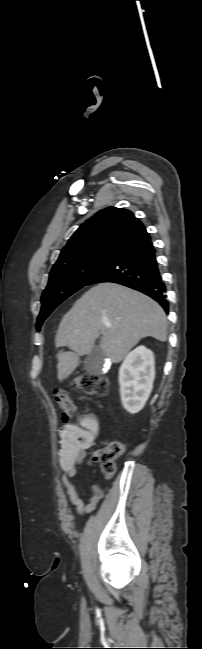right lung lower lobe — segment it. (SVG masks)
<instances>
[{
  "label": "right lung lower lobe",
  "mask_w": 202,
  "mask_h": 649,
  "mask_svg": "<svg viewBox=\"0 0 202 649\" xmlns=\"http://www.w3.org/2000/svg\"><path fill=\"white\" fill-rule=\"evenodd\" d=\"M118 283L156 300L168 313L166 286L160 275L155 249L149 234L115 254L85 284Z\"/></svg>",
  "instance_id": "1"
}]
</instances>
